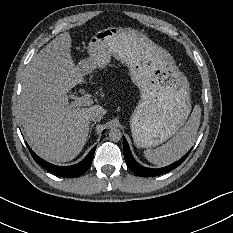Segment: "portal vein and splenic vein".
Returning a JSON list of instances; mask_svg holds the SVG:
<instances>
[{
	"mask_svg": "<svg viewBox=\"0 0 233 233\" xmlns=\"http://www.w3.org/2000/svg\"><path fill=\"white\" fill-rule=\"evenodd\" d=\"M70 98L74 100V102L71 104L72 107L75 106H90L93 103V99L91 98L90 94H84L80 97H77L75 95H70Z\"/></svg>",
	"mask_w": 233,
	"mask_h": 233,
	"instance_id": "18ae733b",
	"label": "portal vein and splenic vein"
}]
</instances>
